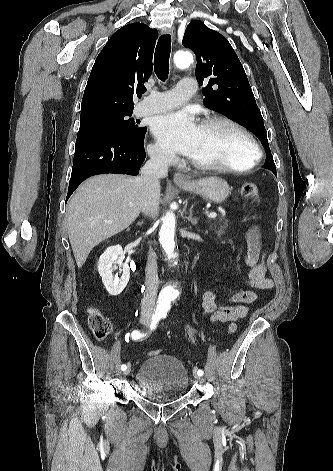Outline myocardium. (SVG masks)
Listing matches in <instances>:
<instances>
[{
  "label": "myocardium",
  "instance_id": "myocardium-1",
  "mask_svg": "<svg viewBox=\"0 0 333 471\" xmlns=\"http://www.w3.org/2000/svg\"><path fill=\"white\" fill-rule=\"evenodd\" d=\"M216 123L229 125L244 136V138L248 141L252 150V157L250 161L243 166H233V165H226V164H207V163L199 162L193 158H190V163L192 164V166L203 171L230 172V173H244L253 169L260 161L261 151H260V148L256 139L251 134V132L242 124L235 121L234 119L226 117V116H221V115L205 118L204 120L201 121L200 126H209Z\"/></svg>",
  "mask_w": 333,
  "mask_h": 471
}]
</instances>
